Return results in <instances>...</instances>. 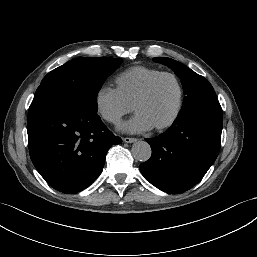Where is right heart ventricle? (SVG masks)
Segmentation results:
<instances>
[{"label":"right heart ventricle","instance_id":"e07e8e85","mask_svg":"<svg viewBox=\"0 0 257 257\" xmlns=\"http://www.w3.org/2000/svg\"><path fill=\"white\" fill-rule=\"evenodd\" d=\"M161 72L159 69L145 66L132 67L116 77V88L130 104H133L148 82Z\"/></svg>","mask_w":257,"mask_h":257}]
</instances>
